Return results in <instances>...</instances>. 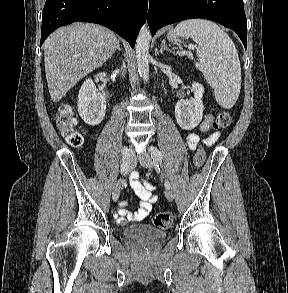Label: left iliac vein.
<instances>
[{
	"label": "left iliac vein",
	"instance_id": "4c4485c4",
	"mask_svg": "<svg viewBox=\"0 0 288 293\" xmlns=\"http://www.w3.org/2000/svg\"><path fill=\"white\" fill-rule=\"evenodd\" d=\"M138 160L140 164L148 169L153 168L154 162L152 160V157L148 154H141L138 156ZM165 196L169 201H172L174 199L173 192L170 189L165 190Z\"/></svg>",
	"mask_w": 288,
	"mask_h": 293
}]
</instances>
